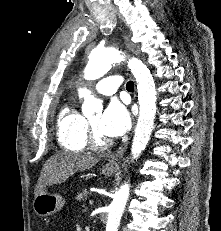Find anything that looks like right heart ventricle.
I'll return each instance as SVG.
<instances>
[{"label": "right heart ventricle", "mask_w": 221, "mask_h": 231, "mask_svg": "<svg viewBox=\"0 0 221 231\" xmlns=\"http://www.w3.org/2000/svg\"><path fill=\"white\" fill-rule=\"evenodd\" d=\"M57 141L61 148L82 152L87 148L86 118L74 104H66L56 121Z\"/></svg>", "instance_id": "1"}]
</instances>
